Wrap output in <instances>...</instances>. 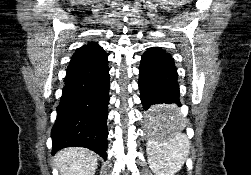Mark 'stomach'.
<instances>
[{"label":"stomach","mask_w":251,"mask_h":175,"mask_svg":"<svg viewBox=\"0 0 251 175\" xmlns=\"http://www.w3.org/2000/svg\"><path fill=\"white\" fill-rule=\"evenodd\" d=\"M148 111H177V106H148ZM145 119L144 128H180L181 123L173 114H145ZM148 134H183V129H148ZM150 141H166V136H150Z\"/></svg>","instance_id":"stomach-1"}]
</instances>
